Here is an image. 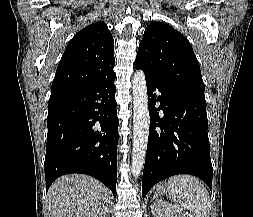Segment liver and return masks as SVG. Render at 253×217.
I'll use <instances>...</instances> for the list:
<instances>
[{
  "label": "liver",
  "instance_id": "obj_1",
  "mask_svg": "<svg viewBox=\"0 0 253 217\" xmlns=\"http://www.w3.org/2000/svg\"><path fill=\"white\" fill-rule=\"evenodd\" d=\"M47 199L51 217H107L109 212L107 188L84 174L58 178L49 188Z\"/></svg>",
  "mask_w": 253,
  "mask_h": 217
}]
</instances>
